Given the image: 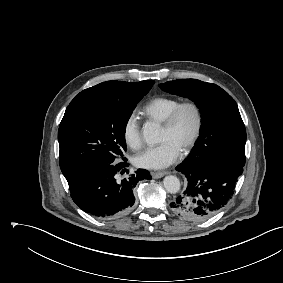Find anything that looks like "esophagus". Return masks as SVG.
<instances>
[{"label":"esophagus","instance_id":"1","mask_svg":"<svg viewBox=\"0 0 283 283\" xmlns=\"http://www.w3.org/2000/svg\"><path fill=\"white\" fill-rule=\"evenodd\" d=\"M167 172L163 171V172H152L151 175L153 178L158 179L163 177L164 175H166Z\"/></svg>","mask_w":283,"mask_h":283}]
</instances>
